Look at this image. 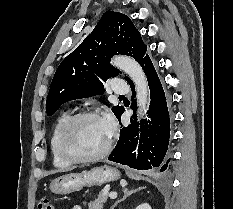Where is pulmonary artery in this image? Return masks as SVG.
I'll list each match as a JSON object with an SVG mask.
<instances>
[{
    "instance_id": "pulmonary-artery-1",
    "label": "pulmonary artery",
    "mask_w": 233,
    "mask_h": 209,
    "mask_svg": "<svg viewBox=\"0 0 233 209\" xmlns=\"http://www.w3.org/2000/svg\"><path fill=\"white\" fill-rule=\"evenodd\" d=\"M112 89L117 94H125L129 92V87L126 82L119 78L113 79Z\"/></svg>"
}]
</instances>
